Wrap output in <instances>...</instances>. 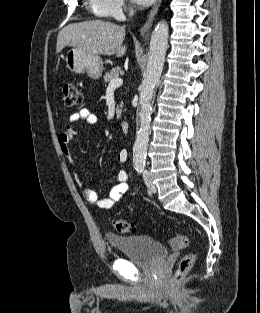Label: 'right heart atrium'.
Segmentation results:
<instances>
[{
	"label": "right heart atrium",
	"instance_id": "right-heart-atrium-1",
	"mask_svg": "<svg viewBox=\"0 0 260 313\" xmlns=\"http://www.w3.org/2000/svg\"><path fill=\"white\" fill-rule=\"evenodd\" d=\"M126 10L125 0H99L98 13L101 16L121 19Z\"/></svg>",
	"mask_w": 260,
	"mask_h": 313
}]
</instances>
